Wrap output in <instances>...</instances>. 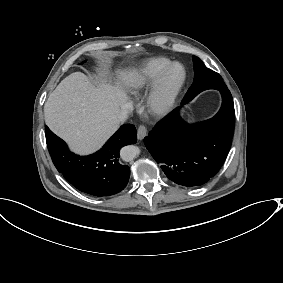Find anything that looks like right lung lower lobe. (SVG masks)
<instances>
[{
	"label": "right lung lower lobe",
	"instance_id": "obj_1",
	"mask_svg": "<svg viewBox=\"0 0 283 283\" xmlns=\"http://www.w3.org/2000/svg\"><path fill=\"white\" fill-rule=\"evenodd\" d=\"M46 143L52 161L64 178L78 190L94 196H110L123 190L130 169L120 163V150L137 141L136 128L124 124L96 153L78 156L47 126Z\"/></svg>",
	"mask_w": 283,
	"mask_h": 283
}]
</instances>
